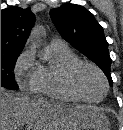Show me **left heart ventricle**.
<instances>
[{
    "label": "left heart ventricle",
    "mask_w": 123,
    "mask_h": 130,
    "mask_svg": "<svg viewBox=\"0 0 123 130\" xmlns=\"http://www.w3.org/2000/svg\"><path fill=\"white\" fill-rule=\"evenodd\" d=\"M81 93L89 99H99L104 93V83L98 73L91 68H82L76 76Z\"/></svg>",
    "instance_id": "obj_1"
}]
</instances>
